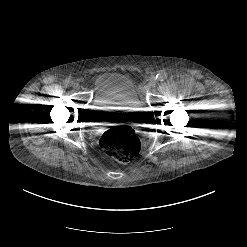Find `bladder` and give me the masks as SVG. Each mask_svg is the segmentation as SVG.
Here are the masks:
<instances>
[{"mask_svg": "<svg viewBox=\"0 0 247 247\" xmlns=\"http://www.w3.org/2000/svg\"><path fill=\"white\" fill-rule=\"evenodd\" d=\"M93 116L97 122L135 120L141 107L134 82L119 73H103L94 81Z\"/></svg>", "mask_w": 247, "mask_h": 247, "instance_id": "bladder-1", "label": "bladder"}]
</instances>
